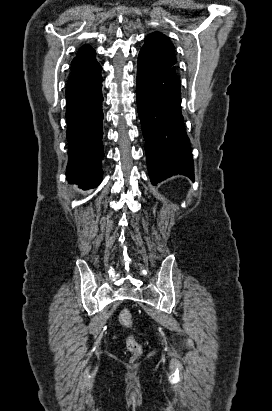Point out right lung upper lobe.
Segmentation results:
<instances>
[{"mask_svg": "<svg viewBox=\"0 0 272 411\" xmlns=\"http://www.w3.org/2000/svg\"><path fill=\"white\" fill-rule=\"evenodd\" d=\"M95 50L83 45L72 60V73L67 82L66 94L82 90L93 84L99 77L101 66L95 60Z\"/></svg>", "mask_w": 272, "mask_h": 411, "instance_id": "1", "label": "right lung upper lobe"}]
</instances>
